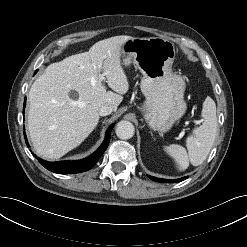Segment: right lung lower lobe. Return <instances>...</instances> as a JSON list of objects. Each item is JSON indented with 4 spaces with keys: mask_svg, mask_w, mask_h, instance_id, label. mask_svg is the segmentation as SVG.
<instances>
[{
    "mask_svg": "<svg viewBox=\"0 0 247 247\" xmlns=\"http://www.w3.org/2000/svg\"><path fill=\"white\" fill-rule=\"evenodd\" d=\"M26 100V99H25ZM26 101H24V106H25ZM113 125L109 127L106 133V137L102 145L97 149L96 152H94L91 156L78 160V161H60V162H47L45 160L40 159L39 157H36L34 154V157L38 159V161L48 170L59 173V174H73V173H80L87 171L91 169L95 163L99 160V158L102 156L104 151L106 150L109 141H110V135L111 131L113 129ZM24 137L26 139V134L24 132ZM26 144L28 142L26 141Z\"/></svg>",
    "mask_w": 247,
    "mask_h": 247,
    "instance_id": "right-lung-lower-lobe-1",
    "label": "right lung lower lobe"
}]
</instances>
